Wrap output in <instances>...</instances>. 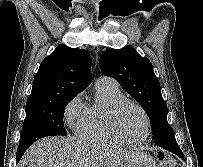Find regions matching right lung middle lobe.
<instances>
[{
    "label": "right lung middle lobe",
    "mask_w": 203,
    "mask_h": 167,
    "mask_svg": "<svg viewBox=\"0 0 203 167\" xmlns=\"http://www.w3.org/2000/svg\"><path fill=\"white\" fill-rule=\"evenodd\" d=\"M74 98L64 97L52 101L26 104V118L19 146L53 135L66 136L63 116L66 105ZM18 146V147H19Z\"/></svg>",
    "instance_id": "dd1d6c3e"
}]
</instances>
